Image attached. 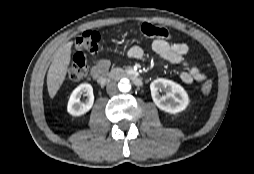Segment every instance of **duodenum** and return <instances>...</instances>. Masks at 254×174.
Returning a JSON list of instances; mask_svg holds the SVG:
<instances>
[{
    "label": "duodenum",
    "mask_w": 254,
    "mask_h": 174,
    "mask_svg": "<svg viewBox=\"0 0 254 174\" xmlns=\"http://www.w3.org/2000/svg\"><path fill=\"white\" fill-rule=\"evenodd\" d=\"M112 76L128 78L138 87L142 86L143 84V81L137 75H135L130 71H115ZM110 78H111L110 76L100 74L97 76V82L99 85L104 86L109 82Z\"/></svg>",
    "instance_id": "obj_1"
}]
</instances>
